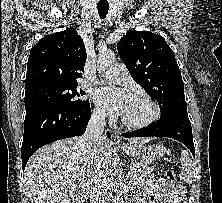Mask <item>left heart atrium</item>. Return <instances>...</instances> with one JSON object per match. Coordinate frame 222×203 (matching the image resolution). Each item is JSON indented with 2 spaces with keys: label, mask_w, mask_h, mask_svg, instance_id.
<instances>
[{
  "label": "left heart atrium",
  "mask_w": 222,
  "mask_h": 203,
  "mask_svg": "<svg viewBox=\"0 0 222 203\" xmlns=\"http://www.w3.org/2000/svg\"><path fill=\"white\" fill-rule=\"evenodd\" d=\"M94 97L101 107L116 115H123L130 98L125 91L111 87L97 90Z\"/></svg>",
  "instance_id": "left-heart-atrium-1"
}]
</instances>
